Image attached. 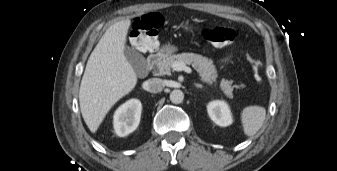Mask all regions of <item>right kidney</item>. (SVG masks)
I'll list each match as a JSON object with an SVG mask.
<instances>
[{
	"label": "right kidney",
	"instance_id": "obj_1",
	"mask_svg": "<svg viewBox=\"0 0 337 171\" xmlns=\"http://www.w3.org/2000/svg\"><path fill=\"white\" fill-rule=\"evenodd\" d=\"M142 105L138 99H131L122 104L113 117L115 133L124 137L132 133L140 123Z\"/></svg>",
	"mask_w": 337,
	"mask_h": 171
}]
</instances>
